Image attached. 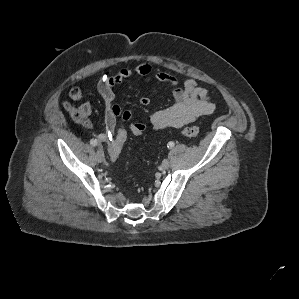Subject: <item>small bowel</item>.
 Returning <instances> with one entry per match:
<instances>
[{"instance_id":"c3829d8e","label":"small bowel","mask_w":299,"mask_h":299,"mask_svg":"<svg viewBox=\"0 0 299 299\" xmlns=\"http://www.w3.org/2000/svg\"><path fill=\"white\" fill-rule=\"evenodd\" d=\"M133 75L141 76L146 85L162 83L172 87L174 102L168 107L153 112L150 116V122L156 130L180 128L201 116L212 114L215 110V104L211 101L207 89L199 86L194 79H187L183 86H180L177 78L171 72H153L148 63H142L133 68H124L115 75L102 77L98 82V92L105 107V132L97 136L100 142L111 140L119 118L124 121H130L132 118L130 110H124L114 103V88ZM69 97L73 101H80L83 97L82 89L79 87L71 88ZM139 102L141 105L147 106L150 99L147 96H142ZM82 106L89 113L91 112V106L88 102L83 103ZM137 123L143 126L144 130L146 129L143 122L137 121Z\"/></svg>"}]
</instances>
